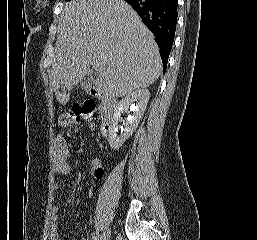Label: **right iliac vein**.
Masks as SVG:
<instances>
[{
	"label": "right iliac vein",
	"mask_w": 257,
	"mask_h": 240,
	"mask_svg": "<svg viewBox=\"0 0 257 240\" xmlns=\"http://www.w3.org/2000/svg\"><path fill=\"white\" fill-rule=\"evenodd\" d=\"M111 235V231L109 228H106L102 234L100 235V239L99 240H109Z\"/></svg>",
	"instance_id": "1"
}]
</instances>
